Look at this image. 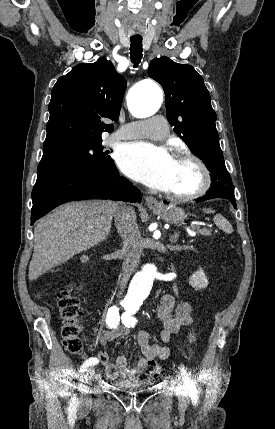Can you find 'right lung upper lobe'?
I'll return each mask as SVG.
<instances>
[{
    "mask_svg": "<svg viewBox=\"0 0 275 429\" xmlns=\"http://www.w3.org/2000/svg\"><path fill=\"white\" fill-rule=\"evenodd\" d=\"M125 89L124 77L105 58L78 64L60 77L51 92L43 155L102 140L103 131L113 130L103 119L118 120Z\"/></svg>",
    "mask_w": 275,
    "mask_h": 429,
    "instance_id": "right-lung-upper-lobe-1",
    "label": "right lung upper lobe"
}]
</instances>
